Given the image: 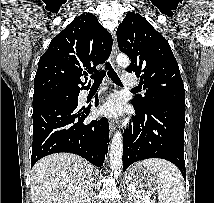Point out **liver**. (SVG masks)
I'll return each mask as SVG.
<instances>
[{"mask_svg": "<svg viewBox=\"0 0 214 203\" xmlns=\"http://www.w3.org/2000/svg\"><path fill=\"white\" fill-rule=\"evenodd\" d=\"M93 166L80 156L55 153L39 160L31 172L33 203H89Z\"/></svg>", "mask_w": 214, "mask_h": 203, "instance_id": "obj_1", "label": "liver"}]
</instances>
